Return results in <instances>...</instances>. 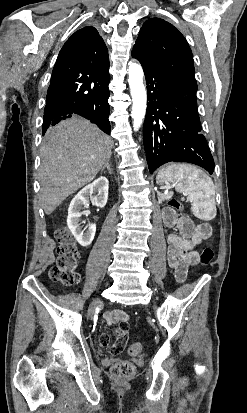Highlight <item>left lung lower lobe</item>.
I'll return each mask as SVG.
<instances>
[{"mask_svg":"<svg viewBox=\"0 0 247 413\" xmlns=\"http://www.w3.org/2000/svg\"><path fill=\"white\" fill-rule=\"evenodd\" d=\"M139 61L147 84L143 140L150 173L175 161L199 165L212 174L214 160L201 132L197 89Z\"/></svg>","mask_w":247,"mask_h":413,"instance_id":"1","label":"left lung lower lobe"}]
</instances>
